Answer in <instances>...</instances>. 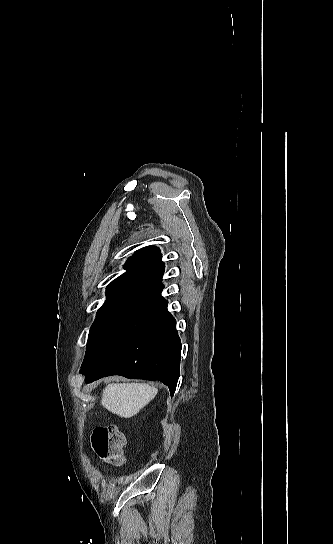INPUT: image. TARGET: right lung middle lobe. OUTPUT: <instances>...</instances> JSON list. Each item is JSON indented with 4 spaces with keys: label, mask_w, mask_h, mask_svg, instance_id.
Returning <instances> with one entry per match:
<instances>
[{
    "label": "right lung middle lobe",
    "mask_w": 333,
    "mask_h": 544,
    "mask_svg": "<svg viewBox=\"0 0 333 544\" xmlns=\"http://www.w3.org/2000/svg\"><path fill=\"white\" fill-rule=\"evenodd\" d=\"M167 309V301L124 299L104 304L88 336L82 368L104 361L152 325Z\"/></svg>",
    "instance_id": "dd1d6c3e"
}]
</instances>
